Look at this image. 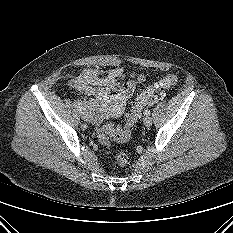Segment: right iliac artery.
<instances>
[{
  "label": "right iliac artery",
  "instance_id": "1",
  "mask_svg": "<svg viewBox=\"0 0 233 233\" xmlns=\"http://www.w3.org/2000/svg\"><path fill=\"white\" fill-rule=\"evenodd\" d=\"M75 105H76L77 109L81 112L83 109L82 103L79 100H75Z\"/></svg>",
  "mask_w": 233,
  "mask_h": 233
}]
</instances>
